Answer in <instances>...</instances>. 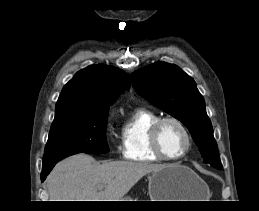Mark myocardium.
Masks as SVG:
<instances>
[{"mask_svg":"<svg viewBox=\"0 0 259 211\" xmlns=\"http://www.w3.org/2000/svg\"><path fill=\"white\" fill-rule=\"evenodd\" d=\"M167 123H175L176 125H178L181 130L183 131V133L186 136V140H187V146L185 148V150L177 155V156H168L167 154H165L162 145H161V141H160V134H161V130L163 128V126ZM150 142H151V147L152 150L154 151V153L156 155H158L161 159L166 160V161H178L183 159L184 157H186L189 152L192 149L193 146V138L192 135L188 129V127L178 118L176 117H164V118H160L152 127L151 129V133H150Z\"/></svg>","mask_w":259,"mask_h":211,"instance_id":"1","label":"myocardium"}]
</instances>
